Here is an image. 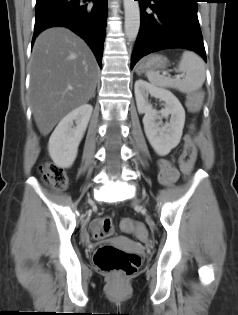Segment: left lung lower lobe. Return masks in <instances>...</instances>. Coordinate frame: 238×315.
<instances>
[{"label":"left lung lower lobe","instance_id":"0a47b994","mask_svg":"<svg viewBox=\"0 0 238 315\" xmlns=\"http://www.w3.org/2000/svg\"><path fill=\"white\" fill-rule=\"evenodd\" d=\"M137 1L140 2L141 24L131 56V69L143 56L167 48L189 49L206 61L197 17L198 0ZM150 1L155 4L151 5ZM148 6L151 10L146 9Z\"/></svg>","mask_w":238,"mask_h":315}]
</instances>
